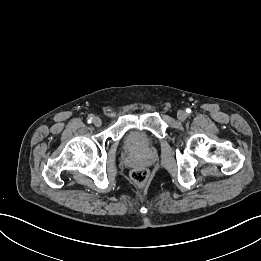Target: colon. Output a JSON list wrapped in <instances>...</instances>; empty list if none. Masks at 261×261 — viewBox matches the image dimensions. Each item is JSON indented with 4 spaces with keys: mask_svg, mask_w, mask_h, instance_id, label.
<instances>
[{
    "mask_svg": "<svg viewBox=\"0 0 261 261\" xmlns=\"http://www.w3.org/2000/svg\"><path fill=\"white\" fill-rule=\"evenodd\" d=\"M131 178L136 184L143 185L147 181L148 172L144 168H136L132 171Z\"/></svg>",
    "mask_w": 261,
    "mask_h": 261,
    "instance_id": "obj_1",
    "label": "colon"
}]
</instances>
